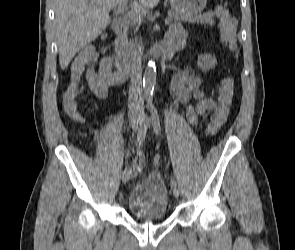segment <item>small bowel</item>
I'll use <instances>...</instances> for the list:
<instances>
[{
	"label": "small bowel",
	"instance_id": "c3829d8e",
	"mask_svg": "<svg viewBox=\"0 0 295 250\" xmlns=\"http://www.w3.org/2000/svg\"><path fill=\"white\" fill-rule=\"evenodd\" d=\"M185 41V35L181 31L170 33L166 44L171 53L179 50ZM95 53L82 51L73 61L70 67V78L79 80L85 72L88 86L98 98H104L108 89L119 83L114 71V63L110 58H104L97 68L94 67ZM172 88L178 99L187 105V118L191 124H197L202 116H209L216 112L218 103L212 97L207 96L201 87V80L188 68L179 70L172 77ZM144 167V159L138 157L133 162L135 171L140 172Z\"/></svg>",
	"mask_w": 295,
	"mask_h": 250
}]
</instances>
